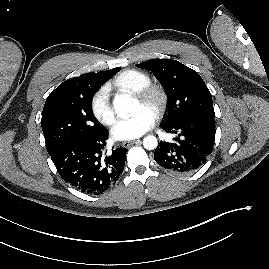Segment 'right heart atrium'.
<instances>
[{
    "instance_id": "d8ad5b80",
    "label": "right heart atrium",
    "mask_w": 269,
    "mask_h": 269,
    "mask_svg": "<svg viewBox=\"0 0 269 269\" xmlns=\"http://www.w3.org/2000/svg\"><path fill=\"white\" fill-rule=\"evenodd\" d=\"M91 109L94 116L103 124L111 126L115 122V112L110 102L109 88L101 86L91 98Z\"/></svg>"
}]
</instances>
